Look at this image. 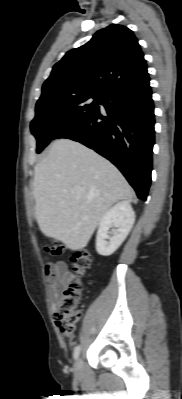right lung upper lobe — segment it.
Returning a JSON list of instances; mask_svg holds the SVG:
<instances>
[{"label":"right lung upper lobe","mask_w":182,"mask_h":399,"mask_svg":"<svg viewBox=\"0 0 182 399\" xmlns=\"http://www.w3.org/2000/svg\"><path fill=\"white\" fill-rule=\"evenodd\" d=\"M147 77L137 38L127 27L112 24L97 31L85 45L68 51L54 65L38 102L80 94L104 95Z\"/></svg>","instance_id":"right-lung-upper-lobe-1"}]
</instances>
